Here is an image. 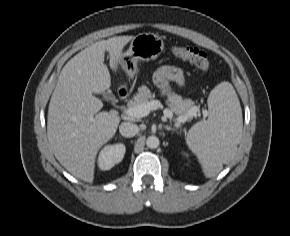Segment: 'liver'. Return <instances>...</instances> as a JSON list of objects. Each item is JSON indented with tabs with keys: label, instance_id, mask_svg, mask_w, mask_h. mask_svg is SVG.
Returning a JSON list of instances; mask_svg holds the SVG:
<instances>
[{
	"label": "liver",
	"instance_id": "6515ba94",
	"mask_svg": "<svg viewBox=\"0 0 290 236\" xmlns=\"http://www.w3.org/2000/svg\"><path fill=\"white\" fill-rule=\"evenodd\" d=\"M133 36H116L95 42L63 67L51 96L47 137L60 164L73 176L85 182L94 180L95 158L101 146L116 133L120 117L102 111L103 103L94 94L111 86L105 52L110 68L116 72L124 46Z\"/></svg>",
	"mask_w": 290,
	"mask_h": 236
}]
</instances>
